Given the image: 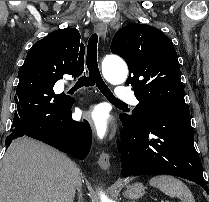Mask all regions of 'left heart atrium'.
Returning a JSON list of instances; mask_svg holds the SVG:
<instances>
[{"label":"left heart atrium","mask_w":209,"mask_h":202,"mask_svg":"<svg viewBox=\"0 0 209 202\" xmlns=\"http://www.w3.org/2000/svg\"><path fill=\"white\" fill-rule=\"evenodd\" d=\"M79 118L86 122L98 137H103L108 131L107 117L101 106H93L79 112Z\"/></svg>","instance_id":"1"}]
</instances>
